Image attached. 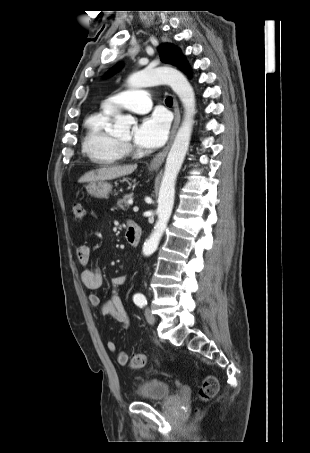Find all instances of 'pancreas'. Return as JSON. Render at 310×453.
I'll return each mask as SVG.
<instances>
[{
  "mask_svg": "<svg viewBox=\"0 0 310 453\" xmlns=\"http://www.w3.org/2000/svg\"><path fill=\"white\" fill-rule=\"evenodd\" d=\"M132 198H133L132 193L126 194L122 199H119L117 201V206L124 211L128 210V208L130 207L128 200H130Z\"/></svg>",
  "mask_w": 310,
  "mask_h": 453,
  "instance_id": "obj_1",
  "label": "pancreas"
}]
</instances>
